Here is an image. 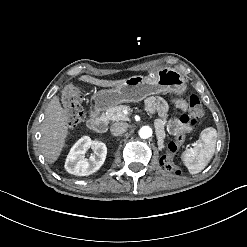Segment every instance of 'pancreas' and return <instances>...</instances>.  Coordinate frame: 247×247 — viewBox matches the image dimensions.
I'll list each match as a JSON object with an SVG mask.
<instances>
[{
  "mask_svg": "<svg viewBox=\"0 0 247 247\" xmlns=\"http://www.w3.org/2000/svg\"><path fill=\"white\" fill-rule=\"evenodd\" d=\"M124 109H130L129 106L119 105L114 106L106 110V112L102 113V116L106 117L108 120L111 121H126L128 120V115L123 113ZM166 119H155L154 126H155V133L158 139V148L162 150L164 148V139H165V124Z\"/></svg>",
  "mask_w": 247,
  "mask_h": 247,
  "instance_id": "pancreas-1",
  "label": "pancreas"
}]
</instances>
